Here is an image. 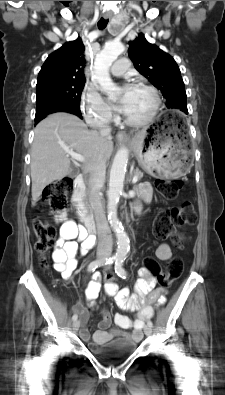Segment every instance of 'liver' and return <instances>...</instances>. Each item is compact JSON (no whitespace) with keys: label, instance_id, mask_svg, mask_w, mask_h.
I'll return each instance as SVG.
<instances>
[{"label":"liver","instance_id":"liver-1","mask_svg":"<svg viewBox=\"0 0 225 395\" xmlns=\"http://www.w3.org/2000/svg\"><path fill=\"white\" fill-rule=\"evenodd\" d=\"M34 134L30 165L32 206L47 185L70 173V158L66 150L82 155V171L88 172L98 156L106 162L114 148L111 136L88 130L80 118L64 112L47 116L36 126Z\"/></svg>","mask_w":225,"mask_h":395}]
</instances>
